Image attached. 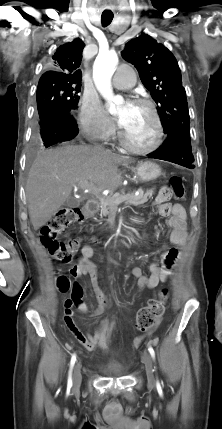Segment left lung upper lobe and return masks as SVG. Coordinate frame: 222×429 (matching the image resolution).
I'll return each instance as SVG.
<instances>
[{
    "mask_svg": "<svg viewBox=\"0 0 222 429\" xmlns=\"http://www.w3.org/2000/svg\"><path fill=\"white\" fill-rule=\"evenodd\" d=\"M138 70L143 85L158 105V114L169 135L190 133V117L182 76L174 55L147 34L129 41L121 52Z\"/></svg>",
    "mask_w": 222,
    "mask_h": 429,
    "instance_id": "1",
    "label": "left lung upper lobe"
}]
</instances>
